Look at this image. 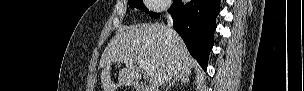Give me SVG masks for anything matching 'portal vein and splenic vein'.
<instances>
[{
    "label": "portal vein and splenic vein",
    "mask_w": 304,
    "mask_h": 91,
    "mask_svg": "<svg viewBox=\"0 0 304 91\" xmlns=\"http://www.w3.org/2000/svg\"><path fill=\"white\" fill-rule=\"evenodd\" d=\"M129 58H125L124 61H127ZM132 60V59H131ZM136 62L139 64V66L145 70L146 74L148 77H150L152 74L149 70V66L147 65V63L143 60H136Z\"/></svg>",
    "instance_id": "portal-vein-and-splenic-vein-1"
}]
</instances>
